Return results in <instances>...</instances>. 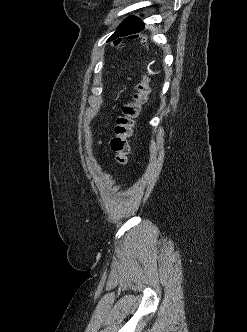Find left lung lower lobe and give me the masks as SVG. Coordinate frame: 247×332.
I'll list each match as a JSON object with an SVG mask.
<instances>
[{
  "label": "left lung lower lobe",
  "mask_w": 247,
  "mask_h": 332,
  "mask_svg": "<svg viewBox=\"0 0 247 332\" xmlns=\"http://www.w3.org/2000/svg\"><path fill=\"white\" fill-rule=\"evenodd\" d=\"M144 29V22L139 17H132L126 21L118 31V37L129 36L137 37V33Z\"/></svg>",
  "instance_id": "0a47b994"
}]
</instances>
